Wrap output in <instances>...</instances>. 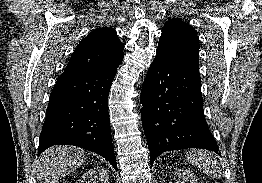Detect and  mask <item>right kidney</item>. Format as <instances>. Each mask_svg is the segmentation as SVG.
Segmentation results:
<instances>
[{"label": "right kidney", "instance_id": "ca27d5eb", "mask_svg": "<svg viewBox=\"0 0 262 183\" xmlns=\"http://www.w3.org/2000/svg\"><path fill=\"white\" fill-rule=\"evenodd\" d=\"M81 183H109L107 171L97 166L82 176Z\"/></svg>", "mask_w": 262, "mask_h": 183}]
</instances>
